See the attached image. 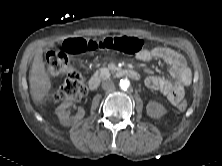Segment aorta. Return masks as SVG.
Instances as JSON below:
<instances>
[{"label":"aorta","mask_w":222,"mask_h":166,"mask_svg":"<svg viewBox=\"0 0 222 166\" xmlns=\"http://www.w3.org/2000/svg\"><path fill=\"white\" fill-rule=\"evenodd\" d=\"M129 86H130V81L127 78L120 80L121 89L126 90L127 88H129Z\"/></svg>","instance_id":"obj_1"}]
</instances>
